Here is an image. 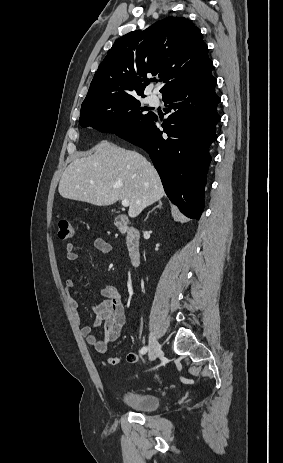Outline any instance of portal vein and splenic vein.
Wrapping results in <instances>:
<instances>
[{"mask_svg":"<svg viewBox=\"0 0 283 463\" xmlns=\"http://www.w3.org/2000/svg\"><path fill=\"white\" fill-rule=\"evenodd\" d=\"M122 205L124 207H128L129 206V201L128 200H122Z\"/></svg>","mask_w":283,"mask_h":463,"instance_id":"1","label":"portal vein and splenic vein"}]
</instances>
